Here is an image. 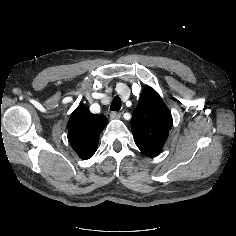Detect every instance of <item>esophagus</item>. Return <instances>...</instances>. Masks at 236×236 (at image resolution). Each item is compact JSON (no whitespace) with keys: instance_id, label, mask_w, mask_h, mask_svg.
I'll use <instances>...</instances> for the list:
<instances>
[{"instance_id":"1","label":"esophagus","mask_w":236,"mask_h":236,"mask_svg":"<svg viewBox=\"0 0 236 236\" xmlns=\"http://www.w3.org/2000/svg\"><path fill=\"white\" fill-rule=\"evenodd\" d=\"M111 119H119L121 117V114L119 112L113 111L110 113Z\"/></svg>"}]
</instances>
